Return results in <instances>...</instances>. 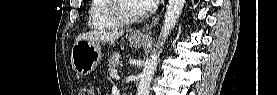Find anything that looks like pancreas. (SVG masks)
Returning <instances> with one entry per match:
<instances>
[{
    "label": "pancreas",
    "instance_id": "1",
    "mask_svg": "<svg viewBox=\"0 0 277 95\" xmlns=\"http://www.w3.org/2000/svg\"><path fill=\"white\" fill-rule=\"evenodd\" d=\"M120 64V54L113 53L108 59L109 70H114Z\"/></svg>",
    "mask_w": 277,
    "mask_h": 95
}]
</instances>
